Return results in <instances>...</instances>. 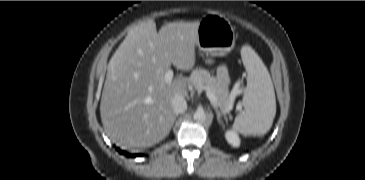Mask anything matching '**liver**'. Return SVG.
Here are the masks:
<instances>
[{
  "mask_svg": "<svg viewBox=\"0 0 365 180\" xmlns=\"http://www.w3.org/2000/svg\"><path fill=\"white\" fill-rule=\"evenodd\" d=\"M199 21L172 22L159 33L153 20L131 27L111 57L100 102L107 134L131 147H150L173 126L172 98L188 97L189 79L165 81L171 64L182 71L195 65Z\"/></svg>",
  "mask_w": 365,
  "mask_h": 180,
  "instance_id": "liver-1",
  "label": "liver"
}]
</instances>
